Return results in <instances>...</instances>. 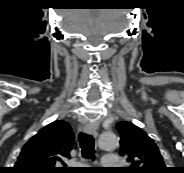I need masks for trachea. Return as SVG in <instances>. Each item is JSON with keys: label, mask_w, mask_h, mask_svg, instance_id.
<instances>
[{"label": "trachea", "mask_w": 184, "mask_h": 173, "mask_svg": "<svg viewBox=\"0 0 184 173\" xmlns=\"http://www.w3.org/2000/svg\"><path fill=\"white\" fill-rule=\"evenodd\" d=\"M79 144L81 147L82 157L85 159H95V140L92 135L86 133H80Z\"/></svg>", "instance_id": "trachea-1"}]
</instances>
